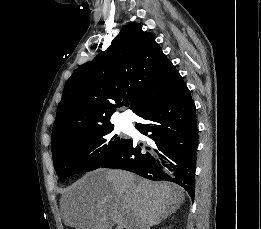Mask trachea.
Here are the masks:
<instances>
[{
	"instance_id": "3493384b",
	"label": "trachea",
	"mask_w": 261,
	"mask_h": 229,
	"mask_svg": "<svg viewBox=\"0 0 261 229\" xmlns=\"http://www.w3.org/2000/svg\"><path fill=\"white\" fill-rule=\"evenodd\" d=\"M122 105L129 106L128 100H124Z\"/></svg>"
}]
</instances>
